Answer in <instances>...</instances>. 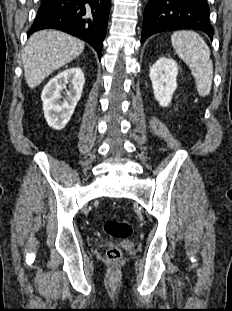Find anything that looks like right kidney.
Instances as JSON below:
<instances>
[{
	"label": "right kidney",
	"instance_id": "obj_1",
	"mask_svg": "<svg viewBox=\"0 0 232 311\" xmlns=\"http://www.w3.org/2000/svg\"><path fill=\"white\" fill-rule=\"evenodd\" d=\"M84 82L82 70L72 67L58 73L46 84L41 99L44 116L50 127L62 130L66 126L81 98ZM63 90L66 91V98L62 96Z\"/></svg>",
	"mask_w": 232,
	"mask_h": 311
}]
</instances>
